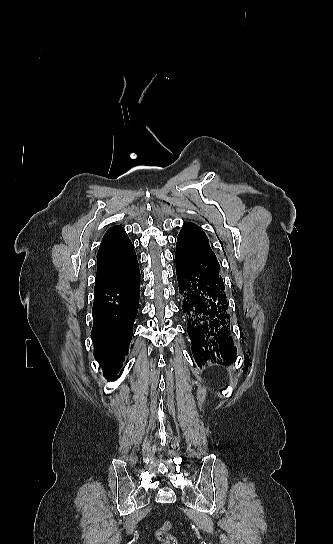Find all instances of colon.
I'll return each mask as SVG.
<instances>
[{
    "label": "colon",
    "mask_w": 333,
    "mask_h": 544,
    "mask_svg": "<svg viewBox=\"0 0 333 544\" xmlns=\"http://www.w3.org/2000/svg\"><path fill=\"white\" fill-rule=\"evenodd\" d=\"M172 524L169 521L163 522L156 531V538L161 544H178L176 537L171 533Z\"/></svg>",
    "instance_id": "1"
}]
</instances>
